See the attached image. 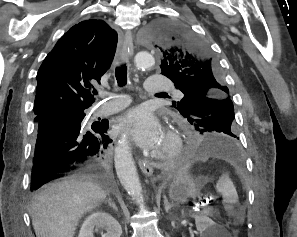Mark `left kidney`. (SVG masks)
Segmentation results:
<instances>
[{"instance_id":"1","label":"left kidney","mask_w":297,"mask_h":237,"mask_svg":"<svg viewBox=\"0 0 297 237\" xmlns=\"http://www.w3.org/2000/svg\"><path fill=\"white\" fill-rule=\"evenodd\" d=\"M196 228L200 237H218L219 226L212 219L204 215L193 214Z\"/></svg>"}]
</instances>
